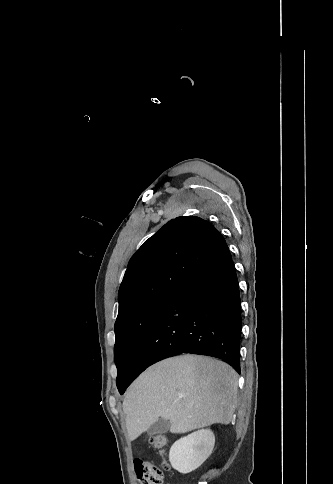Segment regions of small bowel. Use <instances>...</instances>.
I'll use <instances>...</instances> for the list:
<instances>
[{
	"label": "small bowel",
	"instance_id": "1",
	"mask_svg": "<svg viewBox=\"0 0 333 484\" xmlns=\"http://www.w3.org/2000/svg\"><path fill=\"white\" fill-rule=\"evenodd\" d=\"M141 461H142V460H140V459H136V460L134 461V469H135L136 473H138V470H139V467H140Z\"/></svg>",
	"mask_w": 333,
	"mask_h": 484
}]
</instances>
